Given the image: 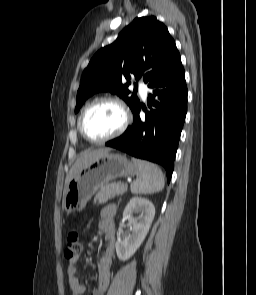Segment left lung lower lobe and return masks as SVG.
<instances>
[{"instance_id": "1", "label": "left lung lower lobe", "mask_w": 256, "mask_h": 295, "mask_svg": "<svg viewBox=\"0 0 256 295\" xmlns=\"http://www.w3.org/2000/svg\"><path fill=\"white\" fill-rule=\"evenodd\" d=\"M148 87L151 89L148 96L150 111L144 109L145 119L139 117V104L132 111V126L105 145L162 165L169 183L187 113V87L181 60Z\"/></svg>"}]
</instances>
